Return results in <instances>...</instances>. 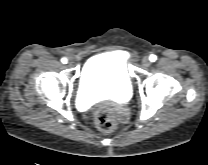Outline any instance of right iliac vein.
<instances>
[{"label": "right iliac vein", "mask_w": 208, "mask_h": 165, "mask_svg": "<svg viewBox=\"0 0 208 165\" xmlns=\"http://www.w3.org/2000/svg\"><path fill=\"white\" fill-rule=\"evenodd\" d=\"M72 63L71 62H68V65H71Z\"/></svg>", "instance_id": "right-iliac-vein-1"}]
</instances>
